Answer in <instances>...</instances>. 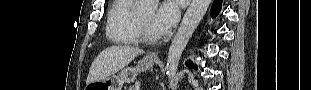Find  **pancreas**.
<instances>
[{"mask_svg": "<svg viewBox=\"0 0 311 90\" xmlns=\"http://www.w3.org/2000/svg\"><path fill=\"white\" fill-rule=\"evenodd\" d=\"M129 90H139V83L136 82L134 85L130 86Z\"/></svg>", "mask_w": 311, "mask_h": 90, "instance_id": "1", "label": "pancreas"}]
</instances>
